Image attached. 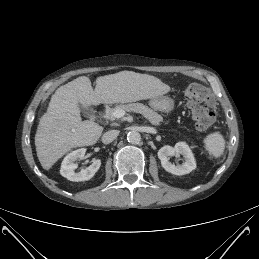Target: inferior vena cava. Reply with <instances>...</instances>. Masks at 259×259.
Listing matches in <instances>:
<instances>
[{"label":"inferior vena cava","mask_w":259,"mask_h":259,"mask_svg":"<svg viewBox=\"0 0 259 259\" xmlns=\"http://www.w3.org/2000/svg\"><path fill=\"white\" fill-rule=\"evenodd\" d=\"M119 135V131L118 130H109L107 132H105L102 136V142L104 144H109L112 141H114L117 136Z\"/></svg>","instance_id":"602c4592"}]
</instances>
